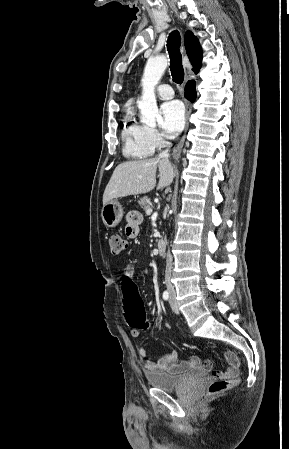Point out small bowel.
Masks as SVG:
<instances>
[{
  "instance_id": "small-bowel-1",
  "label": "small bowel",
  "mask_w": 289,
  "mask_h": 449,
  "mask_svg": "<svg viewBox=\"0 0 289 449\" xmlns=\"http://www.w3.org/2000/svg\"><path fill=\"white\" fill-rule=\"evenodd\" d=\"M141 215L138 212L131 211L126 216L125 234L128 238L134 239L139 234V225L141 223ZM123 273L130 276L133 279L134 268L131 265L125 267ZM139 330L132 329L131 336L135 339L139 338ZM138 352L142 358V367L145 373L155 374V373H169L178 374L185 372L189 369H204L212 370L213 364L211 361H205L204 363L196 357H190L187 360L178 362V356L176 351H169L164 355L160 356L157 360H152L148 355L147 351L142 342L138 345ZM224 358L228 363V368L226 370H214L217 376L224 378H236L239 375L240 370V360L239 357L233 351H225Z\"/></svg>"
}]
</instances>
